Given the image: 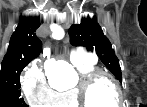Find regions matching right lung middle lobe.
Here are the masks:
<instances>
[{"label": "right lung middle lobe", "instance_id": "dd1d6c3e", "mask_svg": "<svg viewBox=\"0 0 147 107\" xmlns=\"http://www.w3.org/2000/svg\"><path fill=\"white\" fill-rule=\"evenodd\" d=\"M25 66L27 63L23 68ZM23 68L0 76V107H28L20 97V73Z\"/></svg>", "mask_w": 147, "mask_h": 107}]
</instances>
